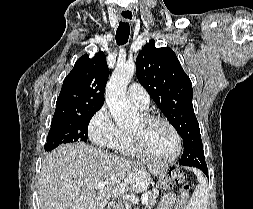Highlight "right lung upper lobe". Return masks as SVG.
<instances>
[{
    "label": "right lung upper lobe",
    "mask_w": 253,
    "mask_h": 209,
    "mask_svg": "<svg viewBox=\"0 0 253 209\" xmlns=\"http://www.w3.org/2000/svg\"><path fill=\"white\" fill-rule=\"evenodd\" d=\"M108 76L109 69L102 51L93 58L87 54L81 56L64 79L53 119L100 109Z\"/></svg>",
    "instance_id": "1"
}]
</instances>
